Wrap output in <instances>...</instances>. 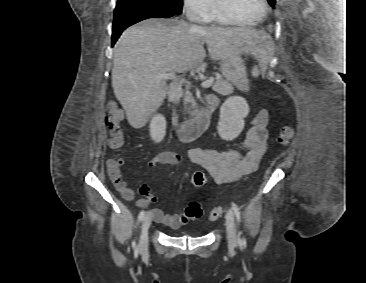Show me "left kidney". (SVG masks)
Here are the masks:
<instances>
[{
  "label": "left kidney",
  "instance_id": "1",
  "mask_svg": "<svg viewBox=\"0 0 366 283\" xmlns=\"http://www.w3.org/2000/svg\"><path fill=\"white\" fill-rule=\"evenodd\" d=\"M249 114V106L242 97L228 98L220 108L217 130L219 136L226 141L237 138L242 132L244 118Z\"/></svg>",
  "mask_w": 366,
  "mask_h": 283
}]
</instances>
